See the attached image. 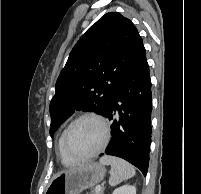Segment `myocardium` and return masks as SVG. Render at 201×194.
Here are the masks:
<instances>
[{
  "instance_id": "myocardium-1",
  "label": "myocardium",
  "mask_w": 201,
  "mask_h": 194,
  "mask_svg": "<svg viewBox=\"0 0 201 194\" xmlns=\"http://www.w3.org/2000/svg\"><path fill=\"white\" fill-rule=\"evenodd\" d=\"M84 119H91V120H95L97 121L102 129H103V140L101 142V144L99 145V147L94 150L93 152H91L90 154H87L85 156H74L72 154L69 153V151L67 150V138L69 135L70 130L72 129V127L78 123L81 120ZM110 139V128H109V124L107 122V120L96 113H84L81 114L79 116H77L75 119H73L68 126L65 128L64 132H63V136H62V142H61V148L63 151V154L70 159L73 162H83V161H87L89 159L94 158L95 156H97L107 145V143L109 142Z\"/></svg>"
}]
</instances>
